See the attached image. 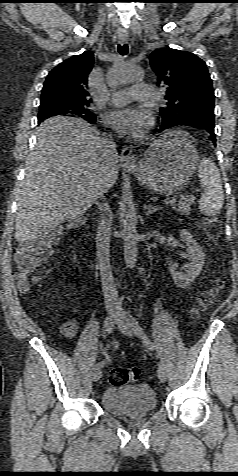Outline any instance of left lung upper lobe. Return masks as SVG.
Masks as SVG:
<instances>
[{"instance_id":"obj_1","label":"left lung upper lobe","mask_w":238,"mask_h":476,"mask_svg":"<svg viewBox=\"0 0 238 476\" xmlns=\"http://www.w3.org/2000/svg\"><path fill=\"white\" fill-rule=\"evenodd\" d=\"M150 64L158 84L167 87V106L160 109L163 125L200 118L214 121V90L203 60L187 51L163 48L151 53Z\"/></svg>"}]
</instances>
